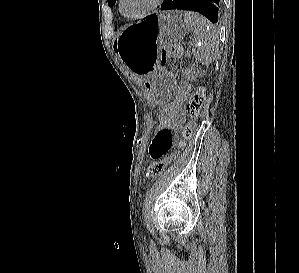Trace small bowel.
<instances>
[{"instance_id": "c3829d8e", "label": "small bowel", "mask_w": 299, "mask_h": 273, "mask_svg": "<svg viewBox=\"0 0 299 273\" xmlns=\"http://www.w3.org/2000/svg\"><path fill=\"white\" fill-rule=\"evenodd\" d=\"M183 120V115L180 114L169 126L159 127L157 129L149 148V154L153 160L162 158L171 150L174 145V140L182 127Z\"/></svg>"}]
</instances>
